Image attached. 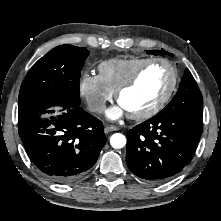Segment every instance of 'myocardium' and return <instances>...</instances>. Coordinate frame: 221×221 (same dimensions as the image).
<instances>
[{"label":"myocardium","instance_id":"f54148a6","mask_svg":"<svg viewBox=\"0 0 221 221\" xmlns=\"http://www.w3.org/2000/svg\"><path fill=\"white\" fill-rule=\"evenodd\" d=\"M154 63H161L166 65L170 71H171V81L167 88V90L163 93V95L147 110L140 112V113H128V116L137 121L147 120L149 118H152L156 114H158L164 106L167 104V102L171 99L172 95L174 94L177 84H178V71L176 67L173 65L172 62L166 59L162 58H151L147 59L142 65H140L129 78H127L115 91V97L117 102H119L120 97L122 94L131 88L139 79L141 74L144 72V70L154 64Z\"/></svg>","mask_w":221,"mask_h":221}]
</instances>
